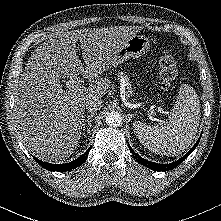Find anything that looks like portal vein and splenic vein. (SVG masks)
<instances>
[{
	"mask_svg": "<svg viewBox=\"0 0 221 221\" xmlns=\"http://www.w3.org/2000/svg\"><path fill=\"white\" fill-rule=\"evenodd\" d=\"M83 80H68L65 85L67 88H75L76 90H84L85 87L83 86Z\"/></svg>",
	"mask_w": 221,
	"mask_h": 221,
	"instance_id": "18ae733b",
	"label": "portal vein and splenic vein"
}]
</instances>
